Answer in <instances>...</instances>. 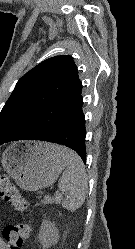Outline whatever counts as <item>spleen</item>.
I'll return each mask as SVG.
<instances>
[{"mask_svg": "<svg viewBox=\"0 0 135 249\" xmlns=\"http://www.w3.org/2000/svg\"><path fill=\"white\" fill-rule=\"evenodd\" d=\"M53 149L66 165L58 181V187L65 195L62 206L69 211H75L84 204L88 192L84 163L73 150L58 145H54Z\"/></svg>", "mask_w": 135, "mask_h": 249, "instance_id": "3e777b00", "label": "spleen"}]
</instances>
